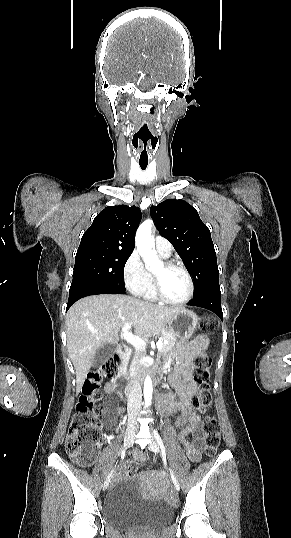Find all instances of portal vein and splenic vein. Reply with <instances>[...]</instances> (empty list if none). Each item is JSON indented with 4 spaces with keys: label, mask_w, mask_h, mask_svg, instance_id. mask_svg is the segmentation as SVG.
<instances>
[{
    "label": "portal vein and splenic vein",
    "mask_w": 291,
    "mask_h": 538,
    "mask_svg": "<svg viewBox=\"0 0 291 538\" xmlns=\"http://www.w3.org/2000/svg\"><path fill=\"white\" fill-rule=\"evenodd\" d=\"M132 324H125L123 327H122V335L124 337V339L130 343L131 345H133L135 348H145L146 347V342L141 339L140 337L132 334L131 332H129V329L131 328ZM93 333H97V330H92ZM163 343H168L167 340H162L161 338L156 342V346L157 348H161L163 346Z\"/></svg>",
    "instance_id": "portal-vein-and-splenic-vein-1"
}]
</instances>
